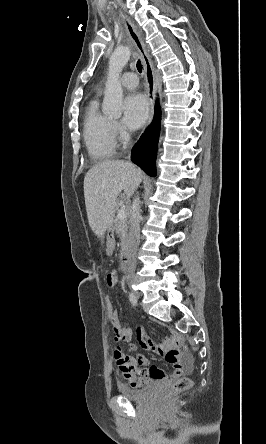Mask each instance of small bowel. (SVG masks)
<instances>
[{
  "mask_svg": "<svg viewBox=\"0 0 266 444\" xmlns=\"http://www.w3.org/2000/svg\"><path fill=\"white\" fill-rule=\"evenodd\" d=\"M107 284L110 287L118 283V275L112 271L106 277ZM113 326L115 340L131 342L133 339V331L129 327L122 325L120 316L110 319ZM136 338L139 345L145 350H151L165 358V360L173 365V371L167 375L157 366H148V361L143 356H128L120 347L114 350V358L118 369L122 376L129 381L131 387H141L152 382H161L169 385L183 374H188L192 370V359L189 355L179 349L180 338L171 336L165 338L160 344L151 341L143 329L136 331ZM131 349L135 350L136 346L131 345Z\"/></svg>",
  "mask_w": 266,
  "mask_h": 444,
  "instance_id": "small-bowel-1",
  "label": "small bowel"
}]
</instances>
